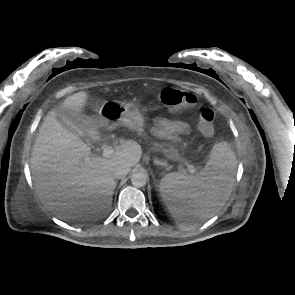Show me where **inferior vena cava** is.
Instances as JSON below:
<instances>
[{"instance_id": "1", "label": "inferior vena cava", "mask_w": 295, "mask_h": 295, "mask_svg": "<svg viewBox=\"0 0 295 295\" xmlns=\"http://www.w3.org/2000/svg\"><path fill=\"white\" fill-rule=\"evenodd\" d=\"M130 171V166L126 164H119L115 167L113 175L115 178H122L126 176Z\"/></svg>"}]
</instances>
